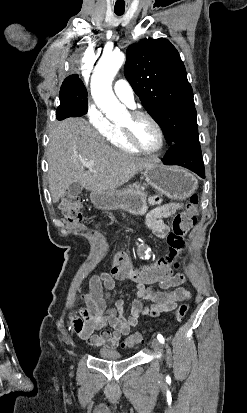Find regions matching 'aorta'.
Segmentation results:
<instances>
[{
  "instance_id": "762f6f07",
  "label": "aorta",
  "mask_w": 247,
  "mask_h": 413,
  "mask_svg": "<svg viewBox=\"0 0 247 413\" xmlns=\"http://www.w3.org/2000/svg\"><path fill=\"white\" fill-rule=\"evenodd\" d=\"M125 61L122 52L104 53L98 61L92 78L91 94L97 106L109 119L121 117L125 106L119 103L112 90V81Z\"/></svg>"
}]
</instances>
